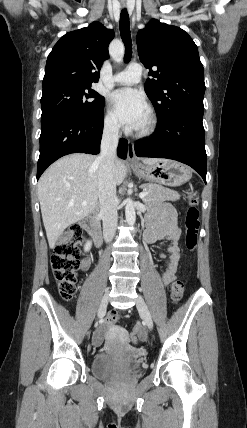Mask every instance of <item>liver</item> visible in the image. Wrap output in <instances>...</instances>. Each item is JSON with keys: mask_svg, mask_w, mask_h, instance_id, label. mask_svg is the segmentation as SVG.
I'll list each match as a JSON object with an SVG mask.
<instances>
[{"mask_svg": "<svg viewBox=\"0 0 247 428\" xmlns=\"http://www.w3.org/2000/svg\"><path fill=\"white\" fill-rule=\"evenodd\" d=\"M96 156L70 154L52 164L38 182V198L49 247L53 249L63 231L88 216L96 208L99 198ZM164 159L143 158L152 165ZM123 160L115 158L114 177L120 185L126 177ZM87 205L83 206L82 202Z\"/></svg>", "mask_w": 247, "mask_h": 428, "instance_id": "1", "label": "liver"}]
</instances>
